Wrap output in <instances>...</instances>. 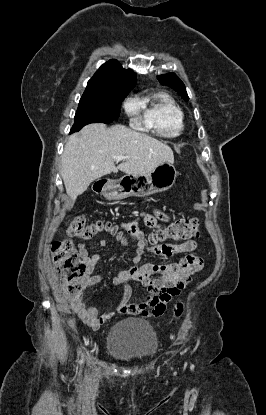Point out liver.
Masks as SVG:
<instances>
[{
    "instance_id": "obj_1",
    "label": "liver",
    "mask_w": 266,
    "mask_h": 415,
    "mask_svg": "<svg viewBox=\"0 0 266 415\" xmlns=\"http://www.w3.org/2000/svg\"><path fill=\"white\" fill-rule=\"evenodd\" d=\"M127 158L117 167L115 157ZM164 162L173 163L172 149L159 140L123 125L102 123L85 126L69 137L61 161V175L72 201L96 179L118 170L144 175Z\"/></svg>"
}]
</instances>
